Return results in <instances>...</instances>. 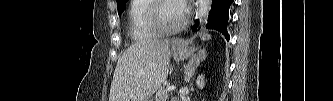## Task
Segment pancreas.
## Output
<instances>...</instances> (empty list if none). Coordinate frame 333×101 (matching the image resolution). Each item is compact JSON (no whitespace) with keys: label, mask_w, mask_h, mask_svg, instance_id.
<instances>
[{"label":"pancreas","mask_w":333,"mask_h":101,"mask_svg":"<svg viewBox=\"0 0 333 101\" xmlns=\"http://www.w3.org/2000/svg\"><path fill=\"white\" fill-rule=\"evenodd\" d=\"M168 97L169 91L165 87H161L155 95V101H167Z\"/></svg>","instance_id":"pancreas-1"}]
</instances>
